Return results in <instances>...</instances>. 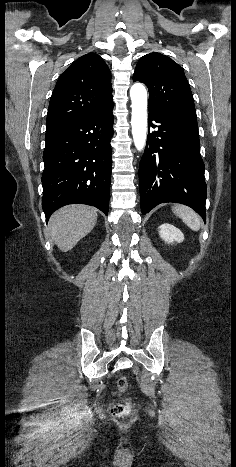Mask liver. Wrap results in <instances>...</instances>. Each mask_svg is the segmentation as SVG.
<instances>
[{
    "label": "liver",
    "instance_id": "obj_1",
    "mask_svg": "<svg viewBox=\"0 0 236 467\" xmlns=\"http://www.w3.org/2000/svg\"><path fill=\"white\" fill-rule=\"evenodd\" d=\"M97 210L91 206L73 204L57 210L48 223L49 234L63 252L70 251L94 228Z\"/></svg>",
    "mask_w": 236,
    "mask_h": 467
}]
</instances>
